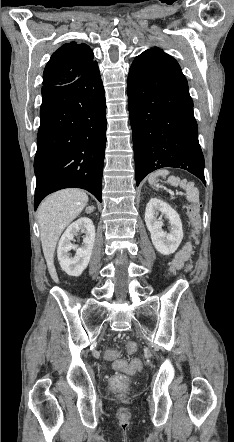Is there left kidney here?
<instances>
[{
    "instance_id": "obj_1",
    "label": "left kidney",
    "mask_w": 234,
    "mask_h": 442,
    "mask_svg": "<svg viewBox=\"0 0 234 442\" xmlns=\"http://www.w3.org/2000/svg\"><path fill=\"white\" fill-rule=\"evenodd\" d=\"M159 213L169 220L170 232L163 231V221L157 219ZM145 222L151 233V240L158 252L163 255L174 253L183 239L182 222L178 213L166 202L151 198L146 206Z\"/></svg>"
}]
</instances>
